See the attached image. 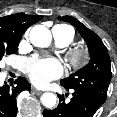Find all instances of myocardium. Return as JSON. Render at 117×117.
<instances>
[{"mask_svg":"<svg viewBox=\"0 0 117 117\" xmlns=\"http://www.w3.org/2000/svg\"><path fill=\"white\" fill-rule=\"evenodd\" d=\"M69 60L75 67H79L87 60V53L84 48H75L69 52Z\"/></svg>","mask_w":117,"mask_h":117,"instance_id":"obj_1","label":"myocardium"}]
</instances>
